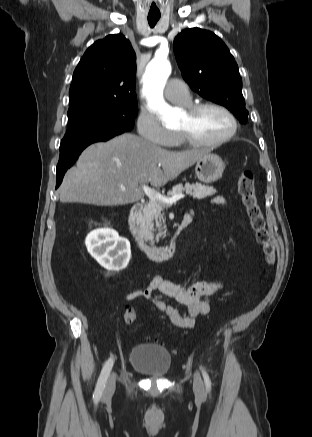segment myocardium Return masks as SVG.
<instances>
[{"mask_svg":"<svg viewBox=\"0 0 312 437\" xmlns=\"http://www.w3.org/2000/svg\"><path fill=\"white\" fill-rule=\"evenodd\" d=\"M206 108L218 109L228 117V119L230 120V124H231L230 130L228 131V133L220 138H217V139L200 140V139H197L196 137H194L189 131H187L185 129H179L178 134H179V137H180L182 143L190 145V146H195V147L217 146V145H221L223 143L228 142L236 135L237 130H238L237 118L233 114V112L229 108L224 106L223 104H220L217 102H212V101L194 103V104L188 105L185 108V112L188 116L192 117L195 114H197L198 112H200L201 110L206 109Z\"/></svg>","mask_w":312,"mask_h":437,"instance_id":"f54148a6","label":"myocardium"}]
</instances>
